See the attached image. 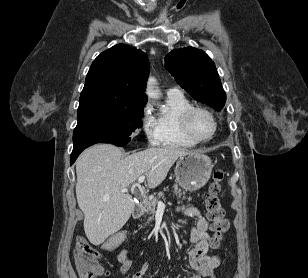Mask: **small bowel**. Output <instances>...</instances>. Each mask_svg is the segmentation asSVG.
<instances>
[{
  "instance_id": "1",
  "label": "small bowel",
  "mask_w": 308,
  "mask_h": 278,
  "mask_svg": "<svg viewBox=\"0 0 308 278\" xmlns=\"http://www.w3.org/2000/svg\"><path fill=\"white\" fill-rule=\"evenodd\" d=\"M179 211L185 217L194 219V226L190 229L189 240L193 247L188 252V262L193 270L190 278H207L220 265L221 257L218 255H208L210 235L209 222L199 209L194 205L181 206ZM118 260L121 263L120 273L126 275L131 267V251L124 249L118 253ZM149 269V264L144 263L132 278H144ZM102 276L107 277L109 271L103 268Z\"/></svg>"
}]
</instances>
